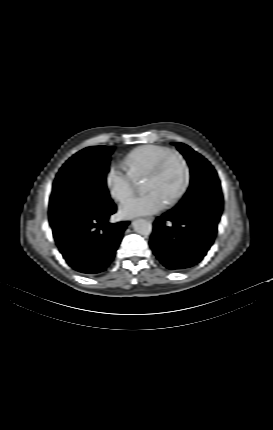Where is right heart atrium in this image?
Here are the masks:
<instances>
[{
  "mask_svg": "<svg viewBox=\"0 0 273 430\" xmlns=\"http://www.w3.org/2000/svg\"><path fill=\"white\" fill-rule=\"evenodd\" d=\"M106 185L111 196L117 202H124L132 196L135 190V177L122 165L110 166L105 177Z\"/></svg>",
  "mask_w": 273,
  "mask_h": 430,
  "instance_id": "right-heart-atrium-1",
  "label": "right heart atrium"
}]
</instances>
